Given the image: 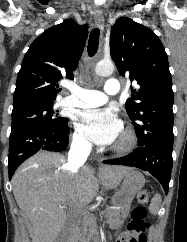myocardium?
<instances>
[{
	"label": "myocardium",
	"mask_w": 187,
	"mask_h": 242,
	"mask_svg": "<svg viewBox=\"0 0 187 242\" xmlns=\"http://www.w3.org/2000/svg\"><path fill=\"white\" fill-rule=\"evenodd\" d=\"M124 140L122 143L112 146L111 150L118 154H126L133 151L138 144L136 130L131 124L123 127Z\"/></svg>",
	"instance_id": "1"
}]
</instances>
